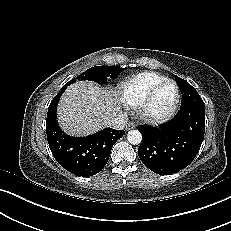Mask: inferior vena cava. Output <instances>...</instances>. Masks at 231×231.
<instances>
[{
    "label": "inferior vena cava",
    "mask_w": 231,
    "mask_h": 231,
    "mask_svg": "<svg viewBox=\"0 0 231 231\" xmlns=\"http://www.w3.org/2000/svg\"><path fill=\"white\" fill-rule=\"evenodd\" d=\"M127 122H128L127 114L120 111L119 113L114 114L107 118L106 126L113 129L121 130L126 126Z\"/></svg>",
    "instance_id": "602c4592"
}]
</instances>
